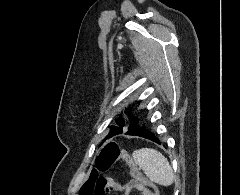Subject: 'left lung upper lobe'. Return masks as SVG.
Returning a JSON list of instances; mask_svg holds the SVG:
<instances>
[{
  "label": "left lung upper lobe",
  "mask_w": 240,
  "mask_h": 195,
  "mask_svg": "<svg viewBox=\"0 0 240 195\" xmlns=\"http://www.w3.org/2000/svg\"><path fill=\"white\" fill-rule=\"evenodd\" d=\"M126 112H127V113H130L129 110H126ZM136 119H137L136 117L130 118V124H131L132 122H134ZM116 122H117V124H118L120 127H118V126H111V127H110L111 130H110V133H109L108 137L122 133V127L125 125L124 119H123L122 117H120V118L116 119Z\"/></svg>",
  "instance_id": "5c2ea615"
}]
</instances>
